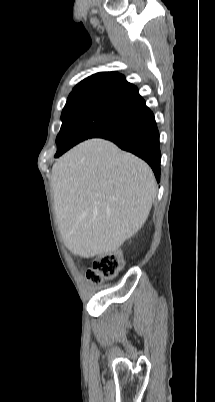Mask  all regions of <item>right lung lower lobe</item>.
Wrapping results in <instances>:
<instances>
[{
  "instance_id": "98d812e1",
  "label": "right lung lower lobe",
  "mask_w": 215,
  "mask_h": 402,
  "mask_svg": "<svg viewBox=\"0 0 215 402\" xmlns=\"http://www.w3.org/2000/svg\"><path fill=\"white\" fill-rule=\"evenodd\" d=\"M105 139L146 161L160 181L159 132L154 115L147 106L126 127Z\"/></svg>"
}]
</instances>
